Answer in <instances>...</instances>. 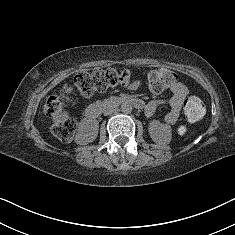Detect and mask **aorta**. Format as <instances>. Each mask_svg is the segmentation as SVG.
Returning a JSON list of instances; mask_svg holds the SVG:
<instances>
[{
  "label": "aorta",
  "instance_id": "762f6f07",
  "mask_svg": "<svg viewBox=\"0 0 235 235\" xmlns=\"http://www.w3.org/2000/svg\"><path fill=\"white\" fill-rule=\"evenodd\" d=\"M121 111L127 114L130 113L132 111V105L129 103H123L121 105Z\"/></svg>",
  "mask_w": 235,
  "mask_h": 235
}]
</instances>
